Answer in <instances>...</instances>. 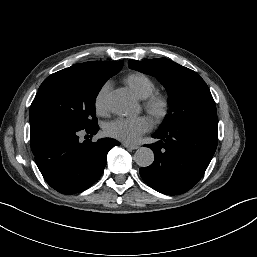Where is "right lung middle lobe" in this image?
Returning a JSON list of instances; mask_svg holds the SVG:
<instances>
[{"mask_svg": "<svg viewBox=\"0 0 257 257\" xmlns=\"http://www.w3.org/2000/svg\"><path fill=\"white\" fill-rule=\"evenodd\" d=\"M110 76H98L77 66L48 76L31 104L30 123L44 121L66 128L97 125L95 99Z\"/></svg>", "mask_w": 257, "mask_h": 257, "instance_id": "obj_1", "label": "right lung middle lobe"}]
</instances>
